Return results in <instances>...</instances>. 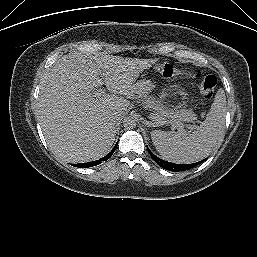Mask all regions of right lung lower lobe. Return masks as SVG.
Wrapping results in <instances>:
<instances>
[{
	"mask_svg": "<svg viewBox=\"0 0 257 257\" xmlns=\"http://www.w3.org/2000/svg\"><path fill=\"white\" fill-rule=\"evenodd\" d=\"M117 144L112 149V151L110 153H108L105 157H103L102 159L96 160V161H92V162H87V163L73 164V166L81 167V168H87V167H92V166L99 165L101 163V161L108 160L112 156V154L114 153V151H115V149L117 147Z\"/></svg>",
	"mask_w": 257,
	"mask_h": 257,
	"instance_id": "obj_1",
	"label": "right lung lower lobe"
}]
</instances>
